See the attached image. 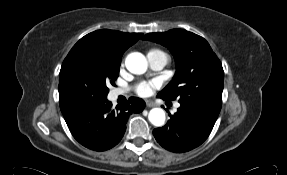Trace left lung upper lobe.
I'll return each instance as SVG.
<instances>
[{"label":"left lung upper lobe","instance_id":"1","mask_svg":"<svg viewBox=\"0 0 287 175\" xmlns=\"http://www.w3.org/2000/svg\"><path fill=\"white\" fill-rule=\"evenodd\" d=\"M143 39L167 47L176 61L175 76L159 96L168 100L178 99L181 105L216 122L222 105L224 72L208 42L183 29L149 33Z\"/></svg>","mask_w":287,"mask_h":175}]
</instances>
